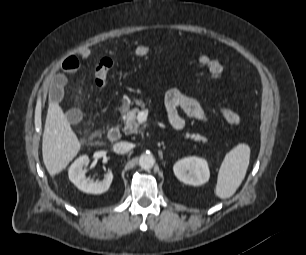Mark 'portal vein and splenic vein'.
<instances>
[{
  "label": "portal vein and splenic vein",
  "instance_id": "portal-vein-and-splenic-vein-1",
  "mask_svg": "<svg viewBox=\"0 0 306 255\" xmlns=\"http://www.w3.org/2000/svg\"><path fill=\"white\" fill-rule=\"evenodd\" d=\"M138 119H139L140 122H143V121L146 119V117L144 116L143 113H140V114L138 115Z\"/></svg>",
  "mask_w": 306,
  "mask_h": 255
}]
</instances>
